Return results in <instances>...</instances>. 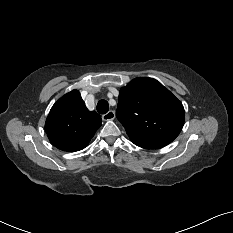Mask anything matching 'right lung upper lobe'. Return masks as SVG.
I'll list each match as a JSON object with an SVG mask.
<instances>
[{"label":"right lung upper lobe","mask_w":233,"mask_h":233,"mask_svg":"<svg viewBox=\"0 0 233 233\" xmlns=\"http://www.w3.org/2000/svg\"><path fill=\"white\" fill-rule=\"evenodd\" d=\"M101 122V116L95 111H89L79 91L73 90L52 106L45 130L55 147L73 152L88 145Z\"/></svg>","instance_id":"cb5924a9"}]
</instances>
